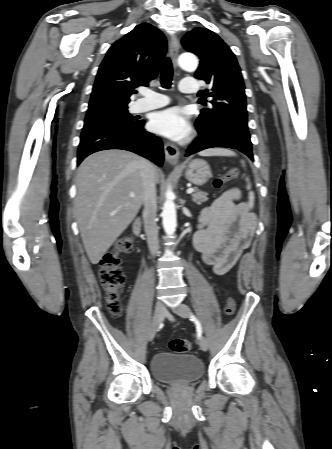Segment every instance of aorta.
<instances>
[{
	"instance_id": "aorta-1",
	"label": "aorta",
	"mask_w": 332,
	"mask_h": 449,
	"mask_svg": "<svg viewBox=\"0 0 332 449\" xmlns=\"http://www.w3.org/2000/svg\"><path fill=\"white\" fill-rule=\"evenodd\" d=\"M179 66L186 71L193 72L198 67V59L195 55L184 53L179 56ZM175 195L171 188L166 191V200L162 210V223L167 235H173L176 230V205L174 203Z\"/></svg>"
}]
</instances>
